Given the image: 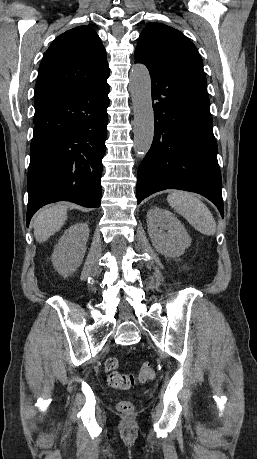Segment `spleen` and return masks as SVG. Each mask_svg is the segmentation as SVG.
I'll return each instance as SVG.
<instances>
[{"mask_svg":"<svg viewBox=\"0 0 257 459\" xmlns=\"http://www.w3.org/2000/svg\"><path fill=\"white\" fill-rule=\"evenodd\" d=\"M167 202L196 230L208 236L215 234V219L208 207L195 194L176 190L167 196Z\"/></svg>","mask_w":257,"mask_h":459,"instance_id":"3e777b00","label":"spleen"}]
</instances>
